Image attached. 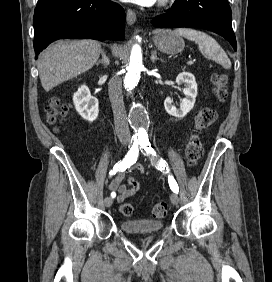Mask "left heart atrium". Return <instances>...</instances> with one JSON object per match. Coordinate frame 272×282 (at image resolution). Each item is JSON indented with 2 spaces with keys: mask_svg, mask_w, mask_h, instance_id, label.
I'll return each mask as SVG.
<instances>
[{
  "mask_svg": "<svg viewBox=\"0 0 272 282\" xmlns=\"http://www.w3.org/2000/svg\"><path fill=\"white\" fill-rule=\"evenodd\" d=\"M124 1L132 2L142 6H148V5H152L156 0H124Z\"/></svg>",
  "mask_w": 272,
  "mask_h": 282,
  "instance_id": "1",
  "label": "left heart atrium"
}]
</instances>
